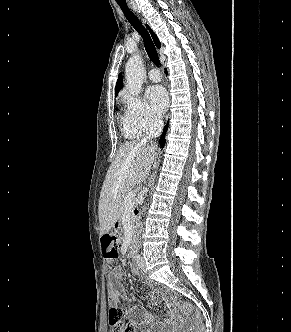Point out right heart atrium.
<instances>
[{
    "mask_svg": "<svg viewBox=\"0 0 291 332\" xmlns=\"http://www.w3.org/2000/svg\"><path fill=\"white\" fill-rule=\"evenodd\" d=\"M126 120L128 124L141 134L156 129L160 122L152 115L147 103L140 97L125 95Z\"/></svg>",
    "mask_w": 291,
    "mask_h": 332,
    "instance_id": "1",
    "label": "right heart atrium"
}]
</instances>
